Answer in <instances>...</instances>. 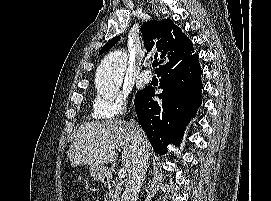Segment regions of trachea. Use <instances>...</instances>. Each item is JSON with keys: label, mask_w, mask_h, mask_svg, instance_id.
Here are the masks:
<instances>
[{"label": "trachea", "mask_w": 271, "mask_h": 201, "mask_svg": "<svg viewBox=\"0 0 271 201\" xmlns=\"http://www.w3.org/2000/svg\"><path fill=\"white\" fill-rule=\"evenodd\" d=\"M158 65V61H153L152 66L156 67Z\"/></svg>", "instance_id": "obj_1"}]
</instances>
